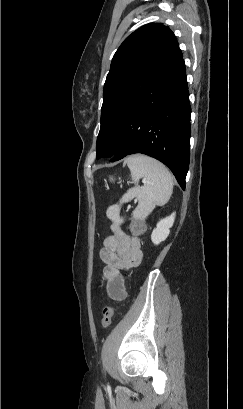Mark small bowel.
Returning <instances> with one entry per match:
<instances>
[{"label":"small bowel","mask_w":243,"mask_h":409,"mask_svg":"<svg viewBox=\"0 0 243 409\" xmlns=\"http://www.w3.org/2000/svg\"><path fill=\"white\" fill-rule=\"evenodd\" d=\"M112 233L104 239L100 251L104 262L103 280L105 291L113 300L126 298L125 280L122 271L140 264L143 254L137 237L128 235L120 226L111 225Z\"/></svg>","instance_id":"small-bowel-1"}]
</instances>
